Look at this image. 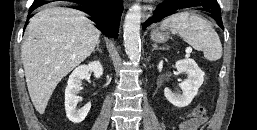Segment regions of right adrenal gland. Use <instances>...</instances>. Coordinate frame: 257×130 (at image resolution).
I'll return each mask as SVG.
<instances>
[{
  "instance_id": "2a0ac1e0",
  "label": "right adrenal gland",
  "mask_w": 257,
  "mask_h": 130,
  "mask_svg": "<svg viewBox=\"0 0 257 130\" xmlns=\"http://www.w3.org/2000/svg\"><path fill=\"white\" fill-rule=\"evenodd\" d=\"M99 43H100V41L97 43V47H96V49L93 51V53H95L96 51L102 53V50L99 48Z\"/></svg>"
}]
</instances>
